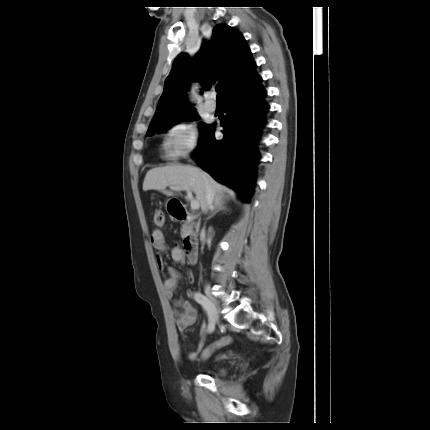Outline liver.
Listing matches in <instances>:
<instances>
[{
    "label": "liver",
    "mask_w": 430,
    "mask_h": 430,
    "mask_svg": "<svg viewBox=\"0 0 430 430\" xmlns=\"http://www.w3.org/2000/svg\"><path fill=\"white\" fill-rule=\"evenodd\" d=\"M214 193L215 204L223 202V187L208 173L189 165H168L150 169L143 182V191L159 190L166 193L167 186H181L190 188L196 195L202 210L205 209L206 184ZM172 195L171 192H167Z\"/></svg>",
    "instance_id": "obj_1"
}]
</instances>
